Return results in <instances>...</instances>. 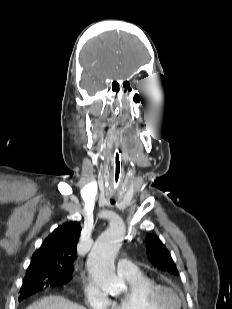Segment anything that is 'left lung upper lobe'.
<instances>
[{
    "label": "left lung upper lobe",
    "mask_w": 232,
    "mask_h": 309,
    "mask_svg": "<svg viewBox=\"0 0 232 309\" xmlns=\"http://www.w3.org/2000/svg\"><path fill=\"white\" fill-rule=\"evenodd\" d=\"M147 255L150 262L163 271L174 275H179V272L174 264V261L160 239L156 235H149L146 237Z\"/></svg>",
    "instance_id": "obj_1"
}]
</instances>
